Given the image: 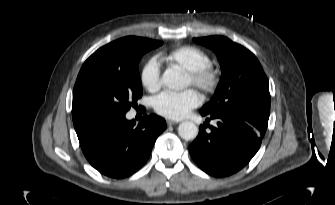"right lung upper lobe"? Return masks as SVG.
Here are the masks:
<instances>
[{"label": "right lung upper lobe", "mask_w": 335, "mask_h": 205, "mask_svg": "<svg viewBox=\"0 0 335 205\" xmlns=\"http://www.w3.org/2000/svg\"><path fill=\"white\" fill-rule=\"evenodd\" d=\"M109 45H111V44L109 43ZM109 45H108V44L105 45L104 47L98 49L93 55H91V56L86 60V62L83 64V66H82V68H81L80 71L86 69V68L89 66V64L91 63V61L94 59V57H95L98 53H100L103 49H105L106 47H108ZM121 58H122L121 56H119V57H116V56H115V57L112 58V62H118V61L121 60Z\"/></svg>", "instance_id": "obj_1"}]
</instances>
